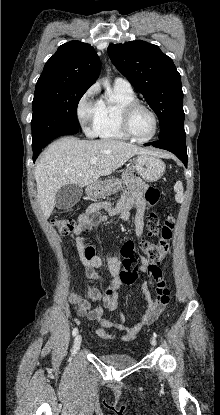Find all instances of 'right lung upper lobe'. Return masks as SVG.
Wrapping results in <instances>:
<instances>
[{
    "instance_id": "obj_1",
    "label": "right lung upper lobe",
    "mask_w": 220,
    "mask_h": 415,
    "mask_svg": "<svg viewBox=\"0 0 220 415\" xmlns=\"http://www.w3.org/2000/svg\"><path fill=\"white\" fill-rule=\"evenodd\" d=\"M100 60L90 44L70 41L46 62L37 84L59 83L90 87L99 76Z\"/></svg>"
}]
</instances>
